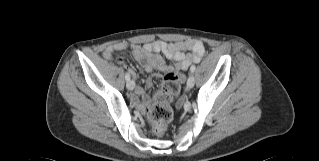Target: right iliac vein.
Masks as SVG:
<instances>
[{"mask_svg": "<svg viewBox=\"0 0 319 161\" xmlns=\"http://www.w3.org/2000/svg\"><path fill=\"white\" fill-rule=\"evenodd\" d=\"M134 86H135V83H134L133 80H129V81L127 82V88H128L129 90H133Z\"/></svg>", "mask_w": 319, "mask_h": 161, "instance_id": "63e3f726", "label": "right iliac vein"}]
</instances>
